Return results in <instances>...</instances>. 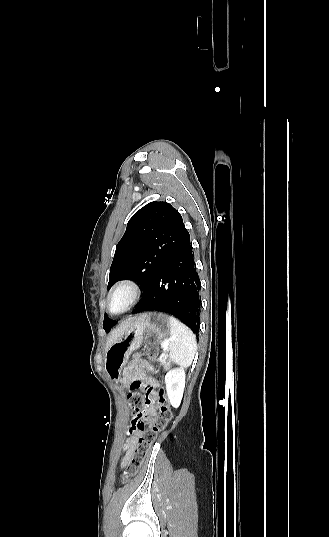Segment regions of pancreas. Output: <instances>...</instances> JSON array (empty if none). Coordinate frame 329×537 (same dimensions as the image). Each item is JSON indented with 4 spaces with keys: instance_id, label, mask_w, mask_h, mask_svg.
Instances as JSON below:
<instances>
[{
    "instance_id": "pancreas-1",
    "label": "pancreas",
    "mask_w": 329,
    "mask_h": 537,
    "mask_svg": "<svg viewBox=\"0 0 329 537\" xmlns=\"http://www.w3.org/2000/svg\"><path fill=\"white\" fill-rule=\"evenodd\" d=\"M167 359V355H164L158 359L159 363L163 365L165 369H168L170 367V361Z\"/></svg>"
}]
</instances>
